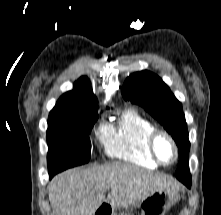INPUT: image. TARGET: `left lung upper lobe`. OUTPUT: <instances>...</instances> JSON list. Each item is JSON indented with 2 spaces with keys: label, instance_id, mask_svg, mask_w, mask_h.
Instances as JSON below:
<instances>
[{
  "label": "left lung upper lobe",
  "instance_id": "1",
  "mask_svg": "<svg viewBox=\"0 0 221 215\" xmlns=\"http://www.w3.org/2000/svg\"><path fill=\"white\" fill-rule=\"evenodd\" d=\"M121 92L125 100L142 106L171 134L179 148L180 158L175 175L181 181H191L187 124L182 105L169 87L154 73L141 71L126 79Z\"/></svg>",
  "mask_w": 221,
  "mask_h": 215
}]
</instances>
